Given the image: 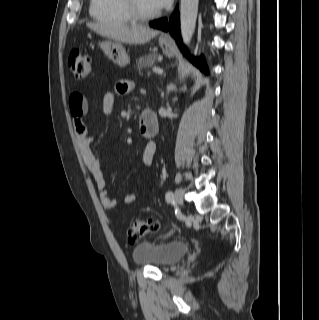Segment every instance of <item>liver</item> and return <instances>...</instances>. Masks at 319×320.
Returning <instances> with one entry per match:
<instances>
[{
	"label": "liver",
	"mask_w": 319,
	"mask_h": 320,
	"mask_svg": "<svg viewBox=\"0 0 319 320\" xmlns=\"http://www.w3.org/2000/svg\"><path fill=\"white\" fill-rule=\"evenodd\" d=\"M96 33L127 44H144L159 34L143 25L87 23Z\"/></svg>",
	"instance_id": "liver-1"
}]
</instances>
